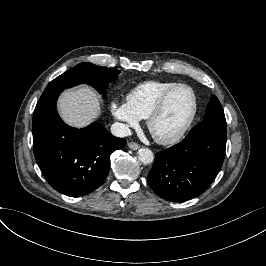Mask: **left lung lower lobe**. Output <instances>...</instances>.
Instances as JSON below:
<instances>
[{
	"instance_id": "obj_1",
	"label": "left lung lower lobe",
	"mask_w": 266,
	"mask_h": 266,
	"mask_svg": "<svg viewBox=\"0 0 266 266\" xmlns=\"http://www.w3.org/2000/svg\"><path fill=\"white\" fill-rule=\"evenodd\" d=\"M226 133L197 130L180 143L156 153L147 180L167 201L182 202L211 185L225 157Z\"/></svg>"
}]
</instances>
